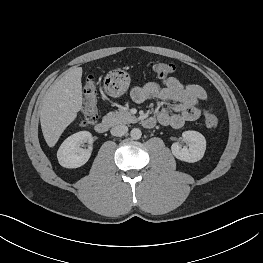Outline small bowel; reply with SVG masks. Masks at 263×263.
<instances>
[{"instance_id": "1", "label": "small bowel", "mask_w": 263, "mask_h": 263, "mask_svg": "<svg viewBox=\"0 0 263 263\" xmlns=\"http://www.w3.org/2000/svg\"><path fill=\"white\" fill-rule=\"evenodd\" d=\"M131 98L136 103L150 99L168 102L157 115L163 126L175 129L200 117V101H209L207 92L197 84H184L175 77H166L162 83L148 82L132 89ZM211 112V108H209Z\"/></svg>"}]
</instances>
